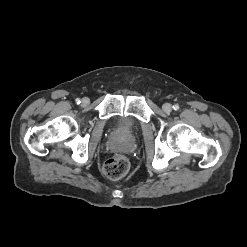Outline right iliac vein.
I'll use <instances>...</instances> for the list:
<instances>
[{"mask_svg": "<svg viewBox=\"0 0 247 247\" xmlns=\"http://www.w3.org/2000/svg\"><path fill=\"white\" fill-rule=\"evenodd\" d=\"M89 103H90V100H89V98H87V97H84V98L82 99V101H81V104H82L83 106H87Z\"/></svg>", "mask_w": 247, "mask_h": 247, "instance_id": "right-iliac-vein-1", "label": "right iliac vein"}]
</instances>
